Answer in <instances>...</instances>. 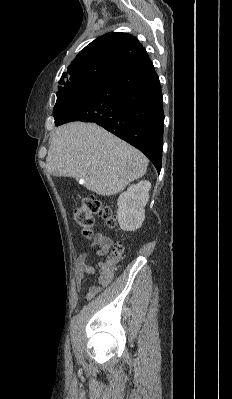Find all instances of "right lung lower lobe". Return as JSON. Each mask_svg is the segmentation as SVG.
<instances>
[{
  "label": "right lung lower lobe",
  "mask_w": 232,
  "mask_h": 399,
  "mask_svg": "<svg viewBox=\"0 0 232 399\" xmlns=\"http://www.w3.org/2000/svg\"><path fill=\"white\" fill-rule=\"evenodd\" d=\"M94 122L142 151L161 170L163 98L150 58L105 79L81 98L67 102L55 120Z\"/></svg>",
  "instance_id": "obj_1"
}]
</instances>
